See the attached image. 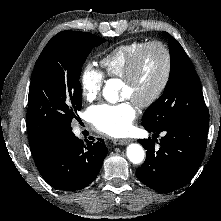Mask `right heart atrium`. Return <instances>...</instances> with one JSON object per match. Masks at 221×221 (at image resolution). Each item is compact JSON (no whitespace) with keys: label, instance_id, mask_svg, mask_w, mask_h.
Instances as JSON below:
<instances>
[{"label":"right heart atrium","instance_id":"obj_1","mask_svg":"<svg viewBox=\"0 0 221 221\" xmlns=\"http://www.w3.org/2000/svg\"><path fill=\"white\" fill-rule=\"evenodd\" d=\"M104 78L103 72L95 68L91 63H87L83 67L80 75V89L82 97L86 101L92 102L99 97Z\"/></svg>","mask_w":221,"mask_h":221}]
</instances>
